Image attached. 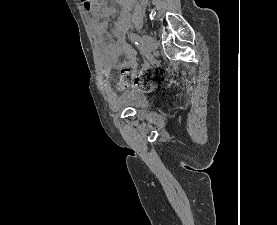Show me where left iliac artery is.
<instances>
[{"label": "left iliac artery", "instance_id": "44dca946", "mask_svg": "<svg viewBox=\"0 0 277 225\" xmlns=\"http://www.w3.org/2000/svg\"><path fill=\"white\" fill-rule=\"evenodd\" d=\"M130 38L131 40L137 45V46H140L141 45V40H140V37L138 34L132 32L130 34Z\"/></svg>", "mask_w": 277, "mask_h": 225}]
</instances>
